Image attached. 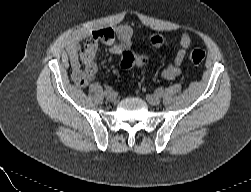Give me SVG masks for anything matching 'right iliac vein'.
<instances>
[{
    "instance_id": "right-iliac-vein-1",
    "label": "right iliac vein",
    "mask_w": 251,
    "mask_h": 192,
    "mask_svg": "<svg viewBox=\"0 0 251 192\" xmlns=\"http://www.w3.org/2000/svg\"><path fill=\"white\" fill-rule=\"evenodd\" d=\"M107 99L110 101V102H116V99H117V97H116V94L115 93H110V94H108L107 95Z\"/></svg>"
}]
</instances>
